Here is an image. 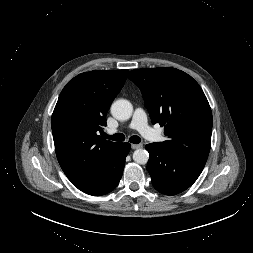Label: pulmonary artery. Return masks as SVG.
<instances>
[{"label": "pulmonary artery", "instance_id": "e3ab8cb5", "mask_svg": "<svg viewBox=\"0 0 253 253\" xmlns=\"http://www.w3.org/2000/svg\"><path fill=\"white\" fill-rule=\"evenodd\" d=\"M129 128L139 131L145 138L151 141H161L162 136L148 125L147 115L142 108H136ZM117 130L110 129L108 133L113 134Z\"/></svg>", "mask_w": 253, "mask_h": 253}]
</instances>
